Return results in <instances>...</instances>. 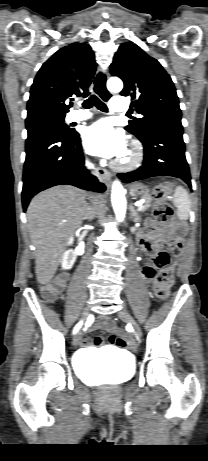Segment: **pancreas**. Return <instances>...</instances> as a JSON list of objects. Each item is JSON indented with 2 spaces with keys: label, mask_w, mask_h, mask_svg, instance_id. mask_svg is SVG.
<instances>
[{
  "label": "pancreas",
  "mask_w": 208,
  "mask_h": 461,
  "mask_svg": "<svg viewBox=\"0 0 208 461\" xmlns=\"http://www.w3.org/2000/svg\"><path fill=\"white\" fill-rule=\"evenodd\" d=\"M152 199L147 195L145 203L139 208V211H144L151 206Z\"/></svg>",
  "instance_id": "obj_1"
}]
</instances>
